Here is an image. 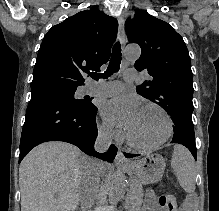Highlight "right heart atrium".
I'll list each match as a JSON object with an SVG mask.
<instances>
[{
    "mask_svg": "<svg viewBox=\"0 0 219 211\" xmlns=\"http://www.w3.org/2000/svg\"><path fill=\"white\" fill-rule=\"evenodd\" d=\"M99 135L102 140L110 142L112 140L118 141L121 137L120 132L115 129L111 124L103 122L98 127Z\"/></svg>",
    "mask_w": 219,
    "mask_h": 211,
    "instance_id": "obj_1",
    "label": "right heart atrium"
}]
</instances>
